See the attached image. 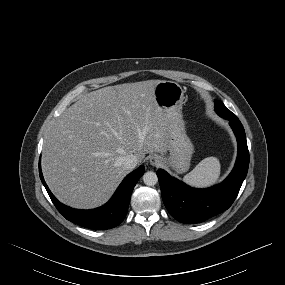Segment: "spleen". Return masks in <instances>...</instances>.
I'll return each mask as SVG.
<instances>
[{
  "label": "spleen",
  "instance_id": "1",
  "mask_svg": "<svg viewBox=\"0 0 285 285\" xmlns=\"http://www.w3.org/2000/svg\"><path fill=\"white\" fill-rule=\"evenodd\" d=\"M221 165L216 157H207L203 159L187 175L183 181L196 188H204L214 185L220 177Z\"/></svg>",
  "mask_w": 285,
  "mask_h": 285
}]
</instances>
